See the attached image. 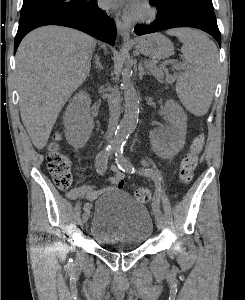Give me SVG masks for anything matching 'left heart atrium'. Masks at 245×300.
<instances>
[{"instance_id":"39dd6f15","label":"left heart atrium","mask_w":245,"mask_h":300,"mask_svg":"<svg viewBox=\"0 0 245 300\" xmlns=\"http://www.w3.org/2000/svg\"><path fill=\"white\" fill-rule=\"evenodd\" d=\"M101 4L105 8L123 7L129 16L136 15L141 6L140 0H101Z\"/></svg>"}]
</instances>
